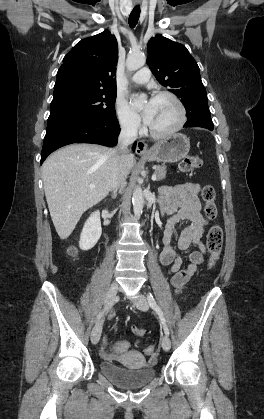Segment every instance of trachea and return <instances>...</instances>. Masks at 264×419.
<instances>
[{
  "mask_svg": "<svg viewBox=\"0 0 264 419\" xmlns=\"http://www.w3.org/2000/svg\"><path fill=\"white\" fill-rule=\"evenodd\" d=\"M140 17V6H135L129 16V25L134 28Z\"/></svg>",
  "mask_w": 264,
  "mask_h": 419,
  "instance_id": "trachea-1",
  "label": "trachea"
}]
</instances>
